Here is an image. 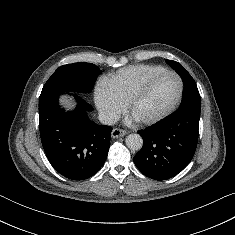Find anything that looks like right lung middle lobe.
Masks as SVG:
<instances>
[{
  "mask_svg": "<svg viewBox=\"0 0 235 235\" xmlns=\"http://www.w3.org/2000/svg\"><path fill=\"white\" fill-rule=\"evenodd\" d=\"M101 71L91 63L60 66L43 86L39 100L64 92H90Z\"/></svg>",
  "mask_w": 235,
  "mask_h": 235,
  "instance_id": "right-lung-middle-lobe-1",
  "label": "right lung middle lobe"
}]
</instances>
